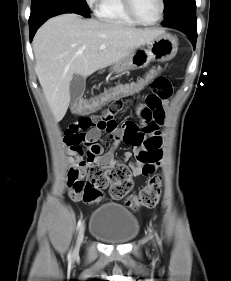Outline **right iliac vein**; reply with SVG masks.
Masks as SVG:
<instances>
[{"mask_svg": "<svg viewBox=\"0 0 231 281\" xmlns=\"http://www.w3.org/2000/svg\"><path fill=\"white\" fill-rule=\"evenodd\" d=\"M84 232H85V227H84V225H82L80 228V231L78 233V236H77L76 245H75L74 252H73L74 257H76L79 253V249H80V246H81L83 238H84Z\"/></svg>", "mask_w": 231, "mask_h": 281, "instance_id": "right-iliac-vein-1", "label": "right iliac vein"}]
</instances>
